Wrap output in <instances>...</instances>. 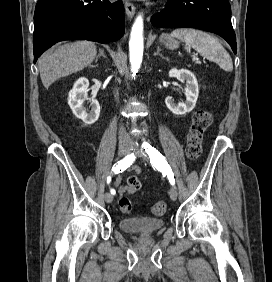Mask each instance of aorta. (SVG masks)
I'll list each match as a JSON object with an SVG mask.
<instances>
[{"label":"aorta","instance_id":"1","mask_svg":"<svg viewBox=\"0 0 272 282\" xmlns=\"http://www.w3.org/2000/svg\"><path fill=\"white\" fill-rule=\"evenodd\" d=\"M143 49V18L139 15L132 26L129 41V56L132 76L138 72L141 66Z\"/></svg>","mask_w":272,"mask_h":282}]
</instances>
